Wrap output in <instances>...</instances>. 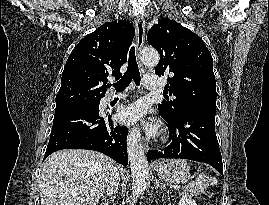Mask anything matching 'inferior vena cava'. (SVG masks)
<instances>
[{
	"label": "inferior vena cava",
	"instance_id": "602c4592",
	"mask_svg": "<svg viewBox=\"0 0 269 205\" xmlns=\"http://www.w3.org/2000/svg\"><path fill=\"white\" fill-rule=\"evenodd\" d=\"M120 182V175L115 166L110 168L108 178H107V196H112L117 192L118 185Z\"/></svg>",
	"mask_w": 269,
	"mask_h": 205
}]
</instances>
